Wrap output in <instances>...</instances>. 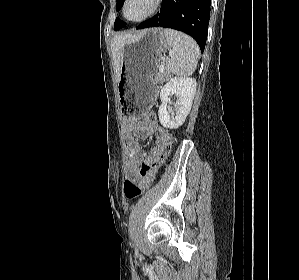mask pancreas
Instances as JSON below:
<instances>
[{
  "label": "pancreas",
  "instance_id": "cf45deb5",
  "mask_svg": "<svg viewBox=\"0 0 299 280\" xmlns=\"http://www.w3.org/2000/svg\"><path fill=\"white\" fill-rule=\"evenodd\" d=\"M169 78V71L168 69H165L164 71H159V73L156 74L155 76V82L158 84H162L165 81H167Z\"/></svg>",
  "mask_w": 299,
  "mask_h": 280
}]
</instances>
